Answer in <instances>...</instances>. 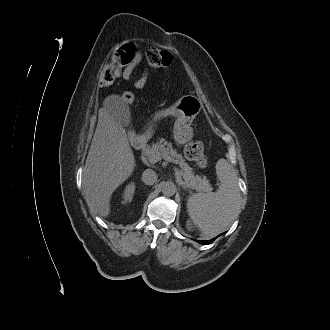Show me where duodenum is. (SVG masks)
I'll return each instance as SVG.
<instances>
[{
    "instance_id": "obj_1",
    "label": "duodenum",
    "mask_w": 330,
    "mask_h": 330,
    "mask_svg": "<svg viewBox=\"0 0 330 330\" xmlns=\"http://www.w3.org/2000/svg\"><path fill=\"white\" fill-rule=\"evenodd\" d=\"M147 138H148V133H146V132L143 134H136V133L132 132L130 134L131 143L136 148H141V146L144 145V143L146 142Z\"/></svg>"
}]
</instances>
